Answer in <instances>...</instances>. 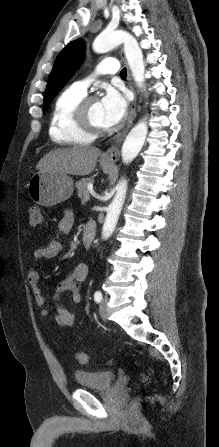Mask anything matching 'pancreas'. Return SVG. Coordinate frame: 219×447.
<instances>
[{
  "instance_id": "obj_1",
  "label": "pancreas",
  "mask_w": 219,
  "mask_h": 447,
  "mask_svg": "<svg viewBox=\"0 0 219 447\" xmlns=\"http://www.w3.org/2000/svg\"><path fill=\"white\" fill-rule=\"evenodd\" d=\"M92 182H93V179H91V178H83V179L79 180L78 182H76L75 186H76L77 191H78V196L81 199L84 198V196L86 194H88L87 186H88V184H90Z\"/></svg>"
}]
</instances>
